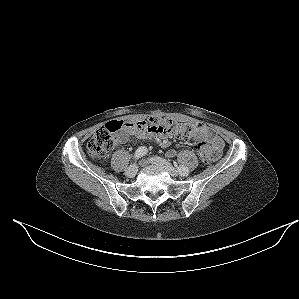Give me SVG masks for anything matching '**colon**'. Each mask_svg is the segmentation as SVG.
Segmentation results:
<instances>
[{
	"label": "colon",
	"mask_w": 299,
	"mask_h": 299,
	"mask_svg": "<svg viewBox=\"0 0 299 299\" xmlns=\"http://www.w3.org/2000/svg\"><path fill=\"white\" fill-rule=\"evenodd\" d=\"M197 126L198 124L195 123H174L164 117H154L149 121H139L136 123L112 120L96 131L88 142L87 150L92 158H103L107 156L124 135V132L130 128L154 130L164 134L174 135L180 139H188L196 130ZM196 149L203 163L208 164L211 162L205 142H198Z\"/></svg>",
	"instance_id": "1"
}]
</instances>
